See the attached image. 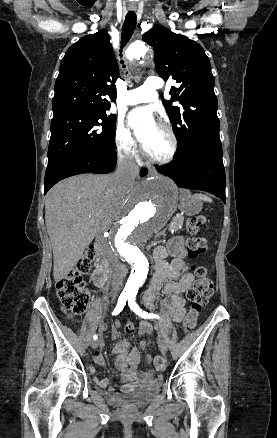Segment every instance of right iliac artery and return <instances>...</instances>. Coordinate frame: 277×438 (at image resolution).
Returning <instances> with one entry per match:
<instances>
[{"label":"right iliac artery","instance_id":"obj_1","mask_svg":"<svg viewBox=\"0 0 277 438\" xmlns=\"http://www.w3.org/2000/svg\"><path fill=\"white\" fill-rule=\"evenodd\" d=\"M127 299H128V295H125V294L120 295V297L118 298V303H117L114 311L112 312V315H118L123 310ZM97 338H98L97 335L93 336L94 340H96Z\"/></svg>","mask_w":277,"mask_h":438}]
</instances>
